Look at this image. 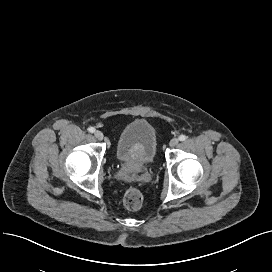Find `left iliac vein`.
Listing matches in <instances>:
<instances>
[{
	"label": "left iliac vein",
	"instance_id": "4c4485c4",
	"mask_svg": "<svg viewBox=\"0 0 272 272\" xmlns=\"http://www.w3.org/2000/svg\"><path fill=\"white\" fill-rule=\"evenodd\" d=\"M178 143H179V139L176 138V137H174V138H172V139L170 140L169 145H170L171 147H175V146L178 145Z\"/></svg>",
	"mask_w": 272,
	"mask_h": 272
}]
</instances>
